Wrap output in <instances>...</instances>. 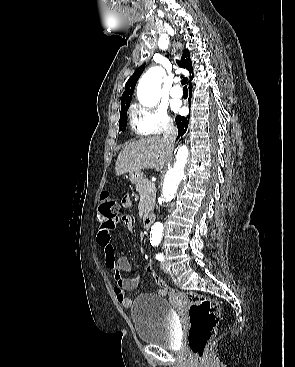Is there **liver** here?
Here are the masks:
<instances>
[{
  "mask_svg": "<svg viewBox=\"0 0 295 367\" xmlns=\"http://www.w3.org/2000/svg\"><path fill=\"white\" fill-rule=\"evenodd\" d=\"M171 150L160 136L131 142L118 155L115 167L116 176L144 169L161 171Z\"/></svg>",
  "mask_w": 295,
  "mask_h": 367,
  "instance_id": "liver-1",
  "label": "liver"
}]
</instances>
